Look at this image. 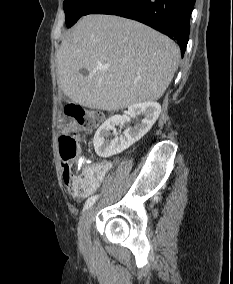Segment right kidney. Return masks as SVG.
<instances>
[{
	"instance_id": "ca27d5eb",
	"label": "right kidney",
	"mask_w": 233,
	"mask_h": 284,
	"mask_svg": "<svg viewBox=\"0 0 233 284\" xmlns=\"http://www.w3.org/2000/svg\"><path fill=\"white\" fill-rule=\"evenodd\" d=\"M161 112V106L157 102H143L131 105L127 116L114 115L107 119L96 131L93 139L95 152L100 157H110L121 153L135 142L140 140L153 126ZM142 116L134 126L128 127L120 137H113L110 131L115 126L130 121L131 118Z\"/></svg>"
}]
</instances>
